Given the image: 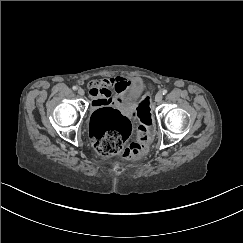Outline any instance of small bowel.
<instances>
[{"instance_id":"c3829d8e","label":"small bowel","mask_w":243,"mask_h":243,"mask_svg":"<svg viewBox=\"0 0 243 243\" xmlns=\"http://www.w3.org/2000/svg\"><path fill=\"white\" fill-rule=\"evenodd\" d=\"M130 80L121 76L92 81L89 84V94L93 107L105 105L124 106L127 88ZM112 89L116 96H113Z\"/></svg>"}]
</instances>
